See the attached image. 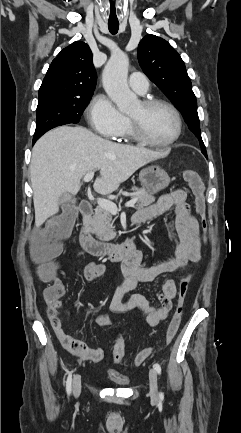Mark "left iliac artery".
Instances as JSON below:
<instances>
[{"instance_id":"44dca946","label":"left iliac artery","mask_w":241,"mask_h":433,"mask_svg":"<svg viewBox=\"0 0 241 433\" xmlns=\"http://www.w3.org/2000/svg\"><path fill=\"white\" fill-rule=\"evenodd\" d=\"M154 368H155V370L157 371V373L160 375V374H161V366H160V364H159V363H155V364H154ZM159 397H160V398H163V397H164V394H163L162 392H160V393H159Z\"/></svg>"}]
</instances>
